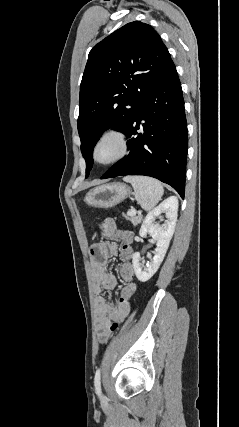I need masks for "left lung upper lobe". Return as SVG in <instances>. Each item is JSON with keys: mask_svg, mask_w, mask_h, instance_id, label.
<instances>
[{"mask_svg": "<svg viewBox=\"0 0 239 427\" xmlns=\"http://www.w3.org/2000/svg\"><path fill=\"white\" fill-rule=\"evenodd\" d=\"M172 66L159 34L139 21L124 25L92 48L80 85L78 117L86 177L103 131L112 127L125 133L142 97Z\"/></svg>", "mask_w": 239, "mask_h": 427, "instance_id": "1", "label": "left lung upper lobe"}]
</instances>
